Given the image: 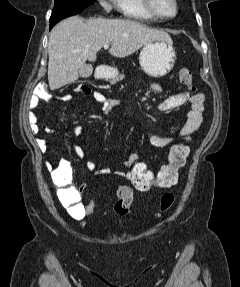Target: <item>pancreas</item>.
I'll return each instance as SVG.
<instances>
[{
  "label": "pancreas",
  "mask_w": 240,
  "mask_h": 287,
  "mask_svg": "<svg viewBox=\"0 0 240 287\" xmlns=\"http://www.w3.org/2000/svg\"><path fill=\"white\" fill-rule=\"evenodd\" d=\"M123 77H124V74H118L114 78H112V82L120 81L123 79Z\"/></svg>",
  "instance_id": "obj_1"
}]
</instances>
